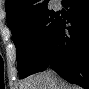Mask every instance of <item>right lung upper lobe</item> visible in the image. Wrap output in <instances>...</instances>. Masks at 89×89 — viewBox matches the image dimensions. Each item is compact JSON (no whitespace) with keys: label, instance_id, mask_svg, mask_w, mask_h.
I'll return each mask as SVG.
<instances>
[{"label":"right lung upper lobe","instance_id":"right-lung-upper-lobe-1","mask_svg":"<svg viewBox=\"0 0 89 89\" xmlns=\"http://www.w3.org/2000/svg\"><path fill=\"white\" fill-rule=\"evenodd\" d=\"M48 1L49 0H7L6 12L9 26L12 27L24 17L46 10Z\"/></svg>","mask_w":89,"mask_h":89}]
</instances>
